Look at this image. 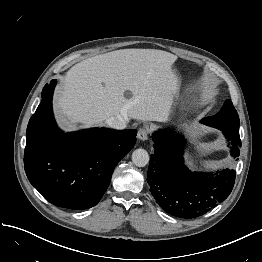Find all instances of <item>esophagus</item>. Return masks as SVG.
Returning a JSON list of instances; mask_svg holds the SVG:
<instances>
[{"label": "esophagus", "instance_id": "1", "mask_svg": "<svg viewBox=\"0 0 262 262\" xmlns=\"http://www.w3.org/2000/svg\"><path fill=\"white\" fill-rule=\"evenodd\" d=\"M149 137V129L147 127H142L139 129L137 133V138L139 140L145 141Z\"/></svg>", "mask_w": 262, "mask_h": 262}]
</instances>
